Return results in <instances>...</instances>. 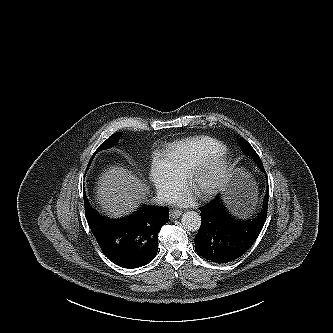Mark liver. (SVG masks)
<instances>
[{
    "mask_svg": "<svg viewBox=\"0 0 333 333\" xmlns=\"http://www.w3.org/2000/svg\"><path fill=\"white\" fill-rule=\"evenodd\" d=\"M96 199L102 212L120 217L133 211L145 199L147 185L122 166L108 168L99 178Z\"/></svg>",
    "mask_w": 333,
    "mask_h": 333,
    "instance_id": "6515ba94",
    "label": "liver"
}]
</instances>
